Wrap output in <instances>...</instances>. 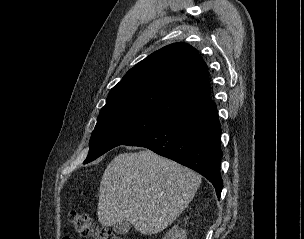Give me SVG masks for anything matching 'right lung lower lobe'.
I'll return each mask as SVG.
<instances>
[{"label":"right lung lower lobe","instance_id":"obj_1","mask_svg":"<svg viewBox=\"0 0 304 239\" xmlns=\"http://www.w3.org/2000/svg\"><path fill=\"white\" fill-rule=\"evenodd\" d=\"M220 136L217 107L209 99L124 145L146 147L199 172L213 184L220 198Z\"/></svg>","mask_w":304,"mask_h":239}]
</instances>
